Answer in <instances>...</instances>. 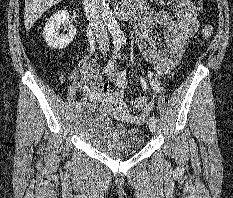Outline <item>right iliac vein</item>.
Masks as SVG:
<instances>
[{"label":"right iliac vein","instance_id":"right-iliac-vein-1","mask_svg":"<svg viewBox=\"0 0 233 198\" xmlns=\"http://www.w3.org/2000/svg\"><path fill=\"white\" fill-rule=\"evenodd\" d=\"M80 110H81V109L79 108V110L77 111V113H79V112H80Z\"/></svg>","mask_w":233,"mask_h":198}]
</instances>
